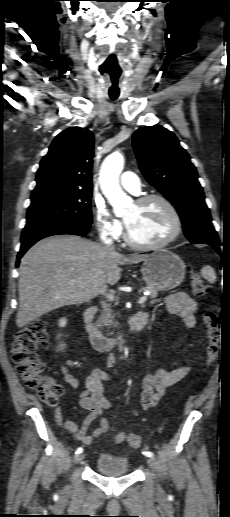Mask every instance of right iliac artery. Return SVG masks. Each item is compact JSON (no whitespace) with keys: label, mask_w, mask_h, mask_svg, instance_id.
I'll list each match as a JSON object with an SVG mask.
<instances>
[{"label":"right iliac artery","mask_w":230,"mask_h":517,"mask_svg":"<svg viewBox=\"0 0 230 517\" xmlns=\"http://www.w3.org/2000/svg\"><path fill=\"white\" fill-rule=\"evenodd\" d=\"M82 452H83V448L79 447V448H77V450H76V452H75V453H76V454H80V453H82Z\"/></svg>","instance_id":"82829eb1"}]
</instances>
